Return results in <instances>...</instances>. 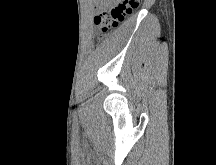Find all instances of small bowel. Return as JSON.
I'll use <instances>...</instances> for the list:
<instances>
[{"mask_svg": "<svg viewBox=\"0 0 216 165\" xmlns=\"http://www.w3.org/2000/svg\"><path fill=\"white\" fill-rule=\"evenodd\" d=\"M98 7H102L107 4L108 0H95Z\"/></svg>", "mask_w": 216, "mask_h": 165, "instance_id": "1", "label": "small bowel"}]
</instances>
